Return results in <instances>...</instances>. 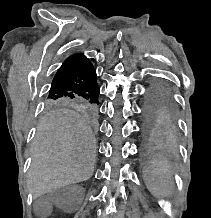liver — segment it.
Listing matches in <instances>:
<instances>
[{"instance_id":"1","label":"liver","mask_w":211,"mask_h":218,"mask_svg":"<svg viewBox=\"0 0 211 218\" xmlns=\"http://www.w3.org/2000/svg\"><path fill=\"white\" fill-rule=\"evenodd\" d=\"M33 162L27 188L34 198L89 180L93 174L96 142L81 116L56 110L39 124L32 144Z\"/></svg>"}]
</instances>
